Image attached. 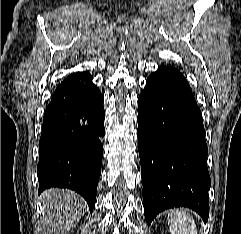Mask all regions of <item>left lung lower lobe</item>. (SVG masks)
<instances>
[{
	"label": "left lung lower lobe",
	"mask_w": 241,
	"mask_h": 234,
	"mask_svg": "<svg viewBox=\"0 0 241 234\" xmlns=\"http://www.w3.org/2000/svg\"><path fill=\"white\" fill-rule=\"evenodd\" d=\"M138 141L147 224L165 209L209 217L208 149L202 115L185 77L158 67L138 98Z\"/></svg>",
	"instance_id": "1"
}]
</instances>
